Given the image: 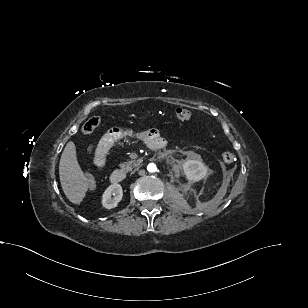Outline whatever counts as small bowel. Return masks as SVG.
I'll use <instances>...</instances> for the list:
<instances>
[{"label":"small bowel","mask_w":308,"mask_h":308,"mask_svg":"<svg viewBox=\"0 0 308 308\" xmlns=\"http://www.w3.org/2000/svg\"><path fill=\"white\" fill-rule=\"evenodd\" d=\"M126 134L127 132L123 129L113 128L108 131L96 144L90 147V151L94 155V163L98 168L103 169L105 167L106 157L109 150ZM138 137L148 144L154 139H161L160 134L156 129L143 130L139 132Z\"/></svg>","instance_id":"obj_1"}]
</instances>
